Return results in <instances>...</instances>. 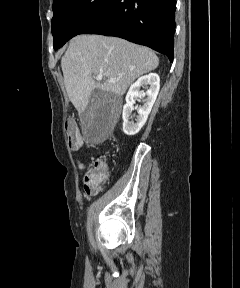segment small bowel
I'll list each match as a JSON object with an SVG mask.
<instances>
[{
	"label": "small bowel",
	"mask_w": 240,
	"mask_h": 288,
	"mask_svg": "<svg viewBox=\"0 0 240 288\" xmlns=\"http://www.w3.org/2000/svg\"><path fill=\"white\" fill-rule=\"evenodd\" d=\"M76 150H78V149H76ZM76 165L80 170H85L88 168V166L85 163L81 162L78 159H76Z\"/></svg>",
	"instance_id": "obj_1"
}]
</instances>
